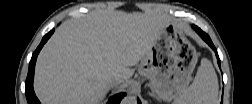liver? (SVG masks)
Segmentation results:
<instances>
[{
    "instance_id": "1",
    "label": "liver",
    "mask_w": 252,
    "mask_h": 104,
    "mask_svg": "<svg viewBox=\"0 0 252 104\" xmlns=\"http://www.w3.org/2000/svg\"><path fill=\"white\" fill-rule=\"evenodd\" d=\"M169 20L162 15L123 13L69 20L41 50L34 89L45 104H98L110 79L125 82L150 51Z\"/></svg>"
}]
</instances>
